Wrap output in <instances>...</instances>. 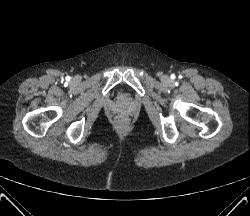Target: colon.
Listing matches in <instances>:
<instances>
[{
    "label": "colon",
    "mask_w": 250,
    "mask_h": 216,
    "mask_svg": "<svg viewBox=\"0 0 250 216\" xmlns=\"http://www.w3.org/2000/svg\"><path fill=\"white\" fill-rule=\"evenodd\" d=\"M116 125L120 128L124 127L126 125V120L123 116H118L116 118Z\"/></svg>",
    "instance_id": "1"
}]
</instances>
